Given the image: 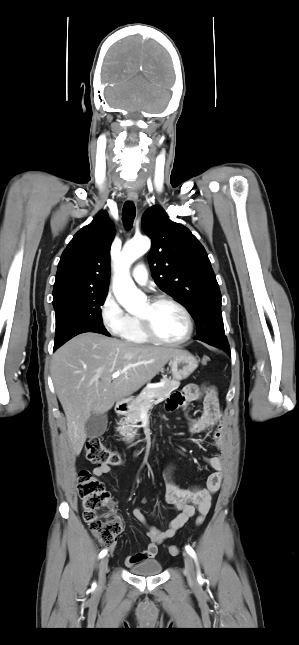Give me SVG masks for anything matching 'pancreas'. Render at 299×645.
Wrapping results in <instances>:
<instances>
[{
	"label": "pancreas",
	"mask_w": 299,
	"mask_h": 645,
	"mask_svg": "<svg viewBox=\"0 0 299 645\" xmlns=\"http://www.w3.org/2000/svg\"><path fill=\"white\" fill-rule=\"evenodd\" d=\"M161 382H163V385L160 387L144 388L136 399L132 400L130 410L126 414V417L118 423L119 427L117 431L123 436L125 442L130 443L135 439L136 431H134V428L141 421L142 412L149 411L153 404L163 401L180 385V382L175 379L170 380L164 378Z\"/></svg>",
	"instance_id": "obj_1"
}]
</instances>
